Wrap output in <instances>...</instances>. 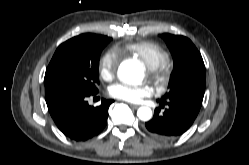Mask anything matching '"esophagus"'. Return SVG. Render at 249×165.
<instances>
[{
    "instance_id": "esophagus-1",
    "label": "esophagus",
    "mask_w": 249,
    "mask_h": 165,
    "mask_svg": "<svg viewBox=\"0 0 249 165\" xmlns=\"http://www.w3.org/2000/svg\"><path fill=\"white\" fill-rule=\"evenodd\" d=\"M131 108L133 109H137L139 107V105H135V104H129Z\"/></svg>"
}]
</instances>
